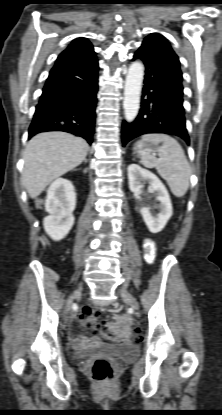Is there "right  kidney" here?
Returning <instances> with one entry per match:
<instances>
[{"label":"right kidney","instance_id":"1","mask_svg":"<svg viewBox=\"0 0 222 415\" xmlns=\"http://www.w3.org/2000/svg\"><path fill=\"white\" fill-rule=\"evenodd\" d=\"M75 206L76 193L73 184L67 179H56L47 190L45 209L49 215L43 221L46 233L53 240L63 239L71 230Z\"/></svg>","mask_w":222,"mask_h":415}]
</instances>
